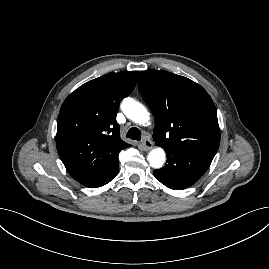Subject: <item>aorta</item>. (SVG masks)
<instances>
[{"label": "aorta", "instance_id": "1", "mask_svg": "<svg viewBox=\"0 0 269 269\" xmlns=\"http://www.w3.org/2000/svg\"><path fill=\"white\" fill-rule=\"evenodd\" d=\"M121 109L127 118L139 125H145L150 119L146 107L132 98H125ZM147 160L152 168L160 169L166 161L164 149L161 147L152 149L148 154Z\"/></svg>", "mask_w": 269, "mask_h": 269}]
</instances>
